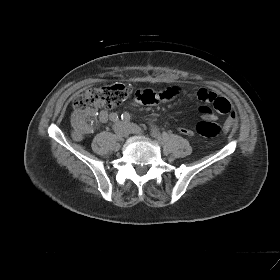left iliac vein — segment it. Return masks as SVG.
I'll return each mask as SVG.
<instances>
[{
  "instance_id": "left-iliac-vein-1",
  "label": "left iliac vein",
  "mask_w": 280,
  "mask_h": 280,
  "mask_svg": "<svg viewBox=\"0 0 280 280\" xmlns=\"http://www.w3.org/2000/svg\"><path fill=\"white\" fill-rule=\"evenodd\" d=\"M127 126H128V128L130 129V131H131L132 133H134V134H139V135H141L142 132H143L142 129H141L138 125H136V124H134V123H128Z\"/></svg>"
}]
</instances>
